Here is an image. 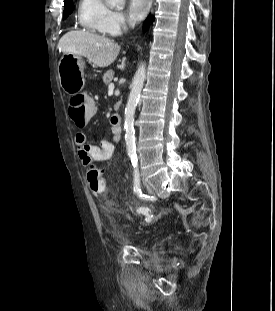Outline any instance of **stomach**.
Masks as SVG:
<instances>
[{
  "instance_id": "obj_1",
  "label": "stomach",
  "mask_w": 275,
  "mask_h": 311,
  "mask_svg": "<svg viewBox=\"0 0 275 311\" xmlns=\"http://www.w3.org/2000/svg\"><path fill=\"white\" fill-rule=\"evenodd\" d=\"M85 61L81 56L64 54L58 64V75L62 89L69 95L79 93L84 85Z\"/></svg>"
}]
</instances>
